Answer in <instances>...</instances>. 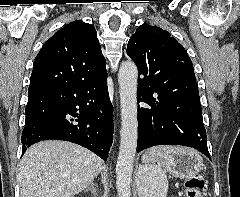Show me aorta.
<instances>
[{
	"mask_svg": "<svg viewBox=\"0 0 240 197\" xmlns=\"http://www.w3.org/2000/svg\"><path fill=\"white\" fill-rule=\"evenodd\" d=\"M137 80L136 64L131 60L122 62L118 73L121 105V140L116 164L118 197H130L131 195V179L138 135Z\"/></svg>",
	"mask_w": 240,
	"mask_h": 197,
	"instance_id": "obj_1",
	"label": "aorta"
}]
</instances>
